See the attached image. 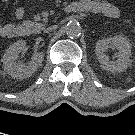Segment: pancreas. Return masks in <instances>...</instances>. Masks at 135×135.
<instances>
[{
  "mask_svg": "<svg viewBox=\"0 0 135 135\" xmlns=\"http://www.w3.org/2000/svg\"><path fill=\"white\" fill-rule=\"evenodd\" d=\"M22 26L28 29L29 33H38L43 28L39 23H35L32 21H24Z\"/></svg>",
  "mask_w": 135,
  "mask_h": 135,
  "instance_id": "cf45deb5",
  "label": "pancreas"
}]
</instances>
